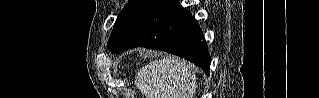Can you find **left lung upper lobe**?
Segmentation results:
<instances>
[{
    "mask_svg": "<svg viewBox=\"0 0 319 98\" xmlns=\"http://www.w3.org/2000/svg\"><path fill=\"white\" fill-rule=\"evenodd\" d=\"M157 0H130L118 15L109 38L108 49L116 52L137 31L150 8Z\"/></svg>",
    "mask_w": 319,
    "mask_h": 98,
    "instance_id": "1",
    "label": "left lung upper lobe"
}]
</instances>
